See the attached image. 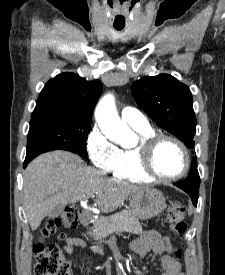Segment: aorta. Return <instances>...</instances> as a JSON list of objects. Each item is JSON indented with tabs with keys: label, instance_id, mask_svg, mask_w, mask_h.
<instances>
[{
	"label": "aorta",
	"instance_id": "762f6f07",
	"mask_svg": "<svg viewBox=\"0 0 225 275\" xmlns=\"http://www.w3.org/2000/svg\"><path fill=\"white\" fill-rule=\"evenodd\" d=\"M95 118L101 132L109 140L124 148L136 145L137 137L129 126L120 119L112 94H106L99 101L95 110Z\"/></svg>",
	"mask_w": 225,
	"mask_h": 275
}]
</instances>
